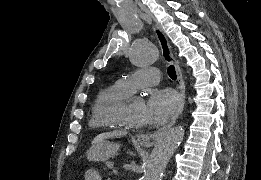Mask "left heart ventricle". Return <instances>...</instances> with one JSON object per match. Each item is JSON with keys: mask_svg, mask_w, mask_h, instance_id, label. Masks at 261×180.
<instances>
[{"mask_svg": "<svg viewBox=\"0 0 261 180\" xmlns=\"http://www.w3.org/2000/svg\"><path fill=\"white\" fill-rule=\"evenodd\" d=\"M121 119L139 131H144L151 123L144 115V102L138 97H130L126 110L122 113Z\"/></svg>", "mask_w": 261, "mask_h": 180, "instance_id": "b2bd125f", "label": "left heart ventricle"}]
</instances>
